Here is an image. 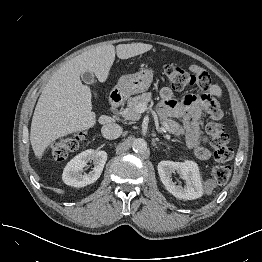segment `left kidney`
<instances>
[{
	"label": "left kidney",
	"instance_id": "5707ae66",
	"mask_svg": "<svg viewBox=\"0 0 262 262\" xmlns=\"http://www.w3.org/2000/svg\"><path fill=\"white\" fill-rule=\"evenodd\" d=\"M178 173L186 186L176 185L172 174ZM158 174L168 192L179 199L194 200L202 196L203 188L199 168L193 161L184 162L161 161L158 164Z\"/></svg>",
	"mask_w": 262,
	"mask_h": 262
}]
</instances>
